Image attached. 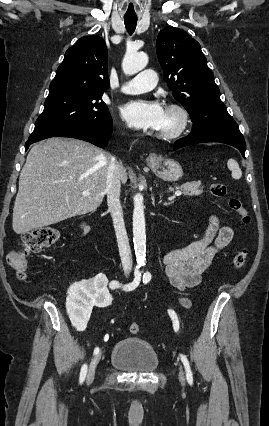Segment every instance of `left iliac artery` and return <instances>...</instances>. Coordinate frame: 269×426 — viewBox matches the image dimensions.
<instances>
[{
  "instance_id": "1",
  "label": "left iliac artery",
  "mask_w": 269,
  "mask_h": 426,
  "mask_svg": "<svg viewBox=\"0 0 269 426\" xmlns=\"http://www.w3.org/2000/svg\"><path fill=\"white\" fill-rule=\"evenodd\" d=\"M150 279H151V274L149 272L144 273L143 282L148 283L150 281ZM168 314L173 321V328H174L175 332H177L179 330L178 317H177L175 311L172 310V309H168ZM180 358H181V361L183 362L185 370H186L187 381L190 385H192L193 384V375H192V371H191V368H190V365H189V361H188L187 357L183 354H180Z\"/></svg>"
}]
</instances>
